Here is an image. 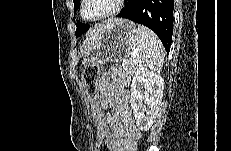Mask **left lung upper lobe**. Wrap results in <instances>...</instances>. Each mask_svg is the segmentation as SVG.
I'll list each match as a JSON object with an SVG mask.
<instances>
[{"label": "left lung upper lobe", "instance_id": "left-lung-upper-lobe-1", "mask_svg": "<svg viewBox=\"0 0 231 151\" xmlns=\"http://www.w3.org/2000/svg\"><path fill=\"white\" fill-rule=\"evenodd\" d=\"M134 1L135 0H125L124 7H130ZM73 2H74V11H76L80 7V0H73ZM88 29H89V25L78 22L75 35L79 37L82 34H84Z\"/></svg>", "mask_w": 231, "mask_h": 151}]
</instances>
